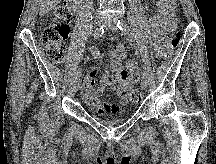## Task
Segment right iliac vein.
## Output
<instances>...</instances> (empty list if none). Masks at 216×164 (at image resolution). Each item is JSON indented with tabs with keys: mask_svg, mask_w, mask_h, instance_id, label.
Instances as JSON below:
<instances>
[{
	"mask_svg": "<svg viewBox=\"0 0 216 164\" xmlns=\"http://www.w3.org/2000/svg\"><path fill=\"white\" fill-rule=\"evenodd\" d=\"M103 23H104V20L102 19V18H96L95 19V25L96 26H102L103 25ZM79 79L76 81V80H74V85H73V89H74V91L75 92H77L78 91V89H79V86H80V77H78Z\"/></svg>",
	"mask_w": 216,
	"mask_h": 164,
	"instance_id": "obj_1",
	"label": "right iliac vein"
}]
</instances>
